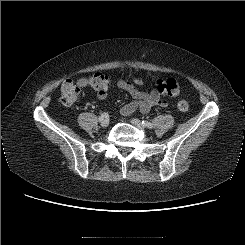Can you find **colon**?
Instances as JSON below:
<instances>
[{"label":"colon","mask_w":245,"mask_h":245,"mask_svg":"<svg viewBox=\"0 0 245 245\" xmlns=\"http://www.w3.org/2000/svg\"><path fill=\"white\" fill-rule=\"evenodd\" d=\"M114 84V80L103 73H95L89 77L82 78L78 81L71 79L65 81L61 87V102L64 105H72L78 99L82 87L91 88L96 91H105ZM159 93L168 96H177L181 93V86L175 79H158L155 83ZM180 111H187L189 103L181 100L177 104Z\"/></svg>","instance_id":"1"}]
</instances>
